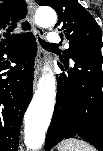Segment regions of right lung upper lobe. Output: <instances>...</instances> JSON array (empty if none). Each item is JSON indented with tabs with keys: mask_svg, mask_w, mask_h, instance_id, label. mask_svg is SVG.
<instances>
[{
	"mask_svg": "<svg viewBox=\"0 0 103 151\" xmlns=\"http://www.w3.org/2000/svg\"><path fill=\"white\" fill-rule=\"evenodd\" d=\"M26 14L25 2L21 0L0 1V49L4 48L6 43L15 44L13 41L20 40L24 36L12 32L17 27L16 23L25 18Z\"/></svg>",
	"mask_w": 103,
	"mask_h": 151,
	"instance_id": "right-lung-upper-lobe-1",
	"label": "right lung upper lobe"
}]
</instances>
